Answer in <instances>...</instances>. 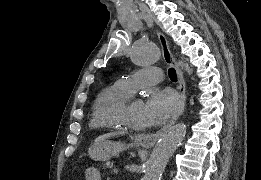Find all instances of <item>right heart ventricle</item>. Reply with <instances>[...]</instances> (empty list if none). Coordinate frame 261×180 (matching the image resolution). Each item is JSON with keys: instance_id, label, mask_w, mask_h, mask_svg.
<instances>
[{"instance_id": "e07e8e85", "label": "right heart ventricle", "mask_w": 261, "mask_h": 180, "mask_svg": "<svg viewBox=\"0 0 261 180\" xmlns=\"http://www.w3.org/2000/svg\"><path fill=\"white\" fill-rule=\"evenodd\" d=\"M129 95L118 84L103 89L97 96L89 119L88 128L90 133H101V131H116L114 123V112L124 104ZM118 136H113L115 138ZM92 138V139H112Z\"/></svg>"}]
</instances>
